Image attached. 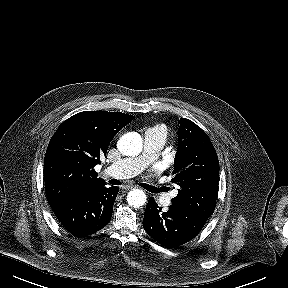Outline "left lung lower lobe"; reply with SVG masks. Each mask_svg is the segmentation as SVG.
<instances>
[{
    "label": "left lung lower lobe",
    "mask_w": 288,
    "mask_h": 288,
    "mask_svg": "<svg viewBox=\"0 0 288 288\" xmlns=\"http://www.w3.org/2000/svg\"><path fill=\"white\" fill-rule=\"evenodd\" d=\"M207 220L204 216L173 204L168 210L162 211L151 197L146 206L143 227L155 241L174 248L192 240Z\"/></svg>",
    "instance_id": "left-lung-lower-lobe-1"
}]
</instances>
